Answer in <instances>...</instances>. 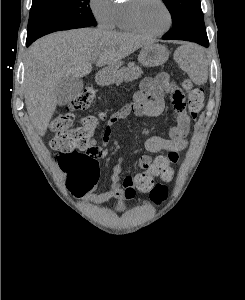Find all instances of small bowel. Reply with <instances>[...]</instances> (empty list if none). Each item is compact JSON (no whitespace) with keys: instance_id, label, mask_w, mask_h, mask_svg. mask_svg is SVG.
Returning a JSON list of instances; mask_svg holds the SVG:
<instances>
[{"instance_id":"1","label":"small bowel","mask_w":245,"mask_h":300,"mask_svg":"<svg viewBox=\"0 0 245 300\" xmlns=\"http://www.w3.org/2000/svg\"><path fill=\"white\" fill-rule=\"evenodd\" d=\"M166 96L172 102L176 113V123L170 129L167 138L151 136L146 139L144 146L148 154L142 155L138 162L139 167L144 170L143 173L162 178V181H156L153 184L154 190H163L167 187V184L172 182L176 166L171 164L177 162L179 152L186 148L188 144L187 137L190 131V117L186 110L184 94L169 74L160 73L154 78H146L135 94L134 101L108 117L102 136V144L97 145L96 141L91 139L89 145V149L95 152L97 159L107 156L106 145L110 139L113 126L131 113L146 117L161 115L165 109ZM161 151H165L166 154L156 158L151 156V154ZM122 162L123 158H118L113 168L110 188L99 194L89 193L85 196L86 200L94 203H103L112 198L131 199L135 196V179L138 174L122 178Z\"/></svg>"}]
</instances>
